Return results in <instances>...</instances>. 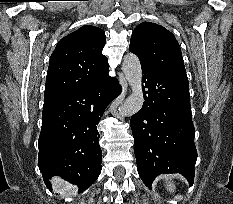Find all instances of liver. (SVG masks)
Returning a JSON list of instances; mask_svg holds the SVG:
<instances>
[{
  "label": "liver",
  "mask_w": 233,
  "mask_h": 204,
  "mask_svg": "<svg viewBox=\"0 0 233 204\" xmlns=\"http://www.w3.org/2000/svg\"><path fill=\"white\" fill-rule=\"evenodd\" d=\"M52 181L54 182V185L57 188H61V187L65 186V182L60 180L59 178H54Z\"/></svg>",
  "instance_id": "obj_1"
}]
</instances>
